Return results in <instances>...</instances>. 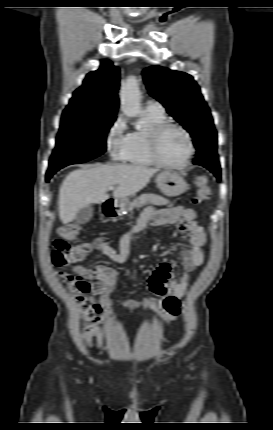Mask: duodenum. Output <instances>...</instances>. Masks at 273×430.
Segmentation results:
<instances>
[{
	"label": "duodenum",
	"mask_w": 273,
	"mask_h": 430,
	"mask_svg": "<svg viewBox=\"0 0 273 430\" xmlns=\"http://www.w3.org/2000/svg\"><path fill=\"white\" fill-rule=\"evenodd\" d=\"M104 214H105L106 216H108V217H112V216H114V215H115L114 207H113L112 205L107 206V207L104 209Z\"/></svg>",
	"instance_id": "410a0bca"
}]
</instances>
